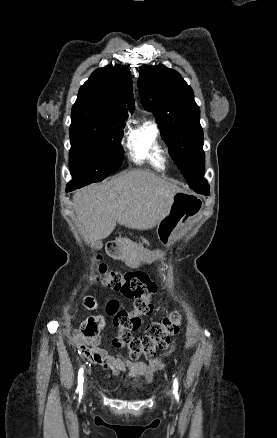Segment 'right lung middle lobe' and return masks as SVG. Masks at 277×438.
Segmentation results:
<instances>
[{"label": "right lung middle lobe", "instance_id": "1", "mask_svg": "<svg viewBox=\"0 0 277 438\" xmlns=\"http://www.w3.org/2000/svg\"><path fill=\"white\" fill-rule=\"evenodd\" d=\"M125 121L114 124L72 122L68 186L79 188L99 182L116 171L123 161L120 140Z\"/></svg>", "mask_w": 277, "mask_h": 438}]
</instances>
